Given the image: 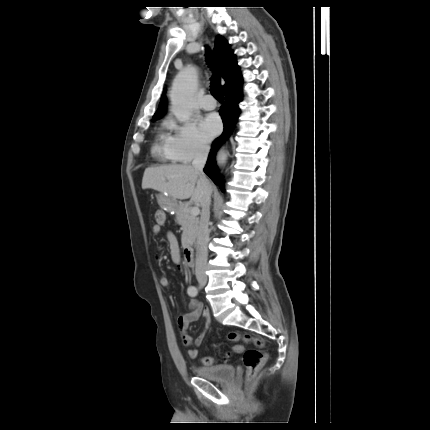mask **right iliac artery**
Wrapping results in <instances>:
<instances>
[{"label": "right iliac artery", "mask_w": 430, "mask_h": 430, "mask_svg": "<svg viewBox=\"0 0 430 430\" xmlns=\"http://www.w3.org/2000/svg\"><path fill=\"white\" fill-rule=\"evenodd\" d=\"M187 293L191 297H195L198 294V289L195 286H190L187 289Z\"/></svg>", "instance_id": "82829eb1"}]
</instances>
